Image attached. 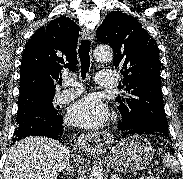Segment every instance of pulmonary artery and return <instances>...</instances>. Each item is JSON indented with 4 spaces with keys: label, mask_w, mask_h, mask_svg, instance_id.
Listing matches in <instances>:
<instances>
[{
    "label": "pulmonary artery",
    "mask_w": 183,
    "mask_h": 179,
    "mask_svg": "<svg viewBox=\"0 0 183 179\" xmlns=\"http://www.w3.org/2000/svg\"><path fill=\"white\" fill-rule=\"evenodd\" d=\"M95 81L99 86L110 87V86L114 85L113 73L108 70L100 71L97 73ZM66 83L68 85L72 86V88L56 93V95L54 97V101L56 103H65L67 101H70L71 99H73L76 96H78L79 94H81V92L83 90L82 86L76 81L68 80V81H66Z\"/></svg>",
    "instance_id": "e3ab8cb5"
}]
</instances>
